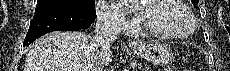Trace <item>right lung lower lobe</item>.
I'll use <instances>...</instances> for the list:
<instances>
[{
	"mask_svg": "<svg viewBox=\"0 0 230 71\" xmlns=\"http://www.w3.org/2000/svg\"><path fill=\"white\" fill-rule=\"evenodd\" d=\"M96 17V13L74 8H41L35 11L23 46H29L34 40L48 32L87 29Z\"/></svg>",
	"mask_w": 230,
	"mask_h": 71,
	"instance_id": "1",
	"label": "right lung lower lobe"
}]
</instances>
